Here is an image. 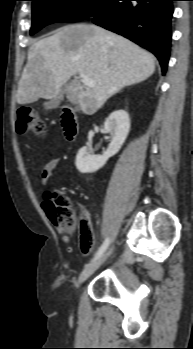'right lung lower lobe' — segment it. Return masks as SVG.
I'll list each match as a JSON object with an SVG mask.
<instances>
[{
	"mask_svg": "<svg viewBox=\"0 0 193 349\" xmlns=\"http://www.w3.org/2000/svg\"><path fill=\"white\" fill-rule=\"evenodd\" d=\"M172 1L101 0L86 18L151 51L165 73L171 40Z\"/></svg>",
	"mask_w": 193,
	"mask_h": 349,
	"instance_id": "1",
	"label": "right lung lower lobe"
}]
</instances>
